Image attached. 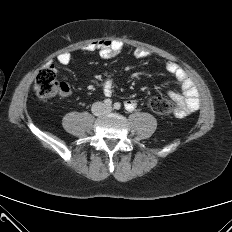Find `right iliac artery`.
<instances>
[{
	"mask_svg": "<svg viewBox=\"0 0 232 232\" xmlns=\"http://www.w3.org/2000/svg\"><path fill=\"white\" fill-rule=\"evenodd\" d=\"M111 104H112L111 99H105V100H104V105H105V106H111Z\"/></svg>",
	"mask_w": 232,
	"mask_h": 232,
	"instance_id": "obj_1",
	"label": "right iliac artery"
}]
</instances>
